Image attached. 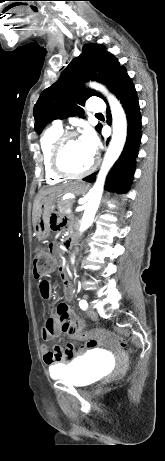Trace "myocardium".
<instances>
[{
	"mask_svg": "<svg viewBox=\"0 0 165 461\" xmlns=\"http://www.w3.org/2000/svg\"><path fill=\"white\" fill-rule=\"evenodd\" d=\"M78 137L75 131H65L54 141L50 151V167L52 171L61 176L68 178H81L95 170L98 164V158L94 157L91 164L83 171L72 172L68 170L62 163V154L66 143L72 139Z\"/></svg>",
	"mask_w": 165,
	"mask_h": 461,
	"instance_id": "1",
	"label": "myocardium"
}]
</instances>
